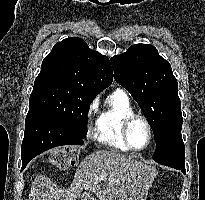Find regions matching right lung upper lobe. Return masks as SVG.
Listing matches in <instances>:
<instances>
[{
	"label": "right lung upper lobe",
	"mask_w": 205,
	"mask_h": 200,
	"mask_svg": "<svg viewBox=\"0 0 205 200\" xmlns=\"http://www.w3.org/2000/svg\"><path fill=\"white\" fill-rule=\"evenodd\" d=\"M46 79L65 81L97 95L112 83L113 70L106 56L73 37L56 43L44 58L36 80Z\"/></svg>",
	"instance_id": "cb5924a9"
}]
</instances>
